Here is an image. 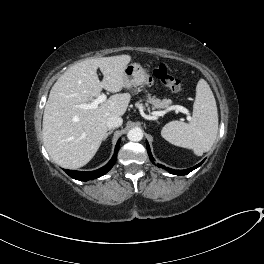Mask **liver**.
Segmentation results:
<instances>
[{"mask_svg":"<svg viewBox=\"0 0 264 264\" xmlns=\"http://www.w3.org/2000/svg\"><path fill=\"white\" fill-rule=\"evenodd\" d=\"M130 61V55L89 58L71 66L55 82L42 126L45 148L55 163L76 169L94 157L107 133V119L124 115L131 95L114 94L96 109H83L80 105L92 102L102 89L121 91L125 87L124 70Z\"/></svg>","mask_w":264,"mask_h":264,"instance_id":"1","label":"liver"}]
</instances>
